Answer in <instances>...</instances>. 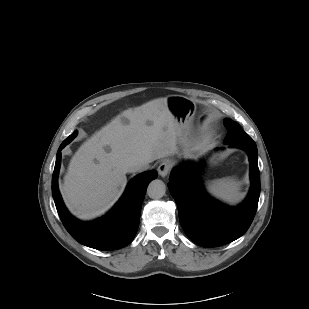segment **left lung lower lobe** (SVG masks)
<instances>
[{"label": "left lung lower lobe", "instance_id": "left-lung-lower-lobe-1", "mask_svg": "<svg viewBox=\"0 0 309 309\" xmlns=\"http://www.w3.org/2000/svg\"><path fill=\"white\" fill-rule=\"evenodd\" d=\"M232 147L245 149L250 161L251 189L246 200L230 208L211 199L204 191L193 162H184L170 175L169 190L175 199L186 235L202 247H216L241 237L251 225L260 195L257 146L252 138L233 140Z\"/></svg>", "mask_w": 309, "mask_h": 309}]
</instances>
